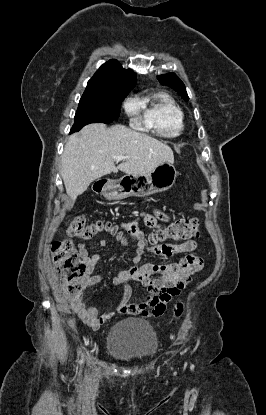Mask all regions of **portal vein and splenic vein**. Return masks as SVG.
I'll return each instance as SVG.
<instances>
[{"label": "portal vein and splenic vein", "instance_id": "18ae733b", "mask_svg": "<svg viewBox=\"0 0 266 415\" xmlns=\"http://www.w3.org/2000/svg\"><path fill=\"white\" fill-rule=\"evenodd\" d=\"M125 158H127L126 156H124V155H118V156H116L115 157V159L117 160V161H122V160H124Z\"/></svg>", "mask_w": 266, "mask_h": 415}]
</instances>
